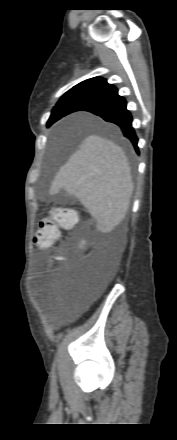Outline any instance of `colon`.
Returning a JSON list of instances; mask_svg holds the SVG:
<instances>
[{"label": "colon", "mask_w": 177, "mask_h": 440, "mask_svg": "<svg viewBox=\"0 0 177 440\" xmlns=\"http://www.w3.org/2000/svg\"><path fill=\"white\" fill-rule=\"evenodd\" d=\"M78 221L75 210L66 207H53L49 214L39 220L34 246L39 249L51 248L57 241L61 230L73 228ZM57 261L58 258H52Z\"/></svg>", "instance_id": "5ec220e1"}]
</instances>
